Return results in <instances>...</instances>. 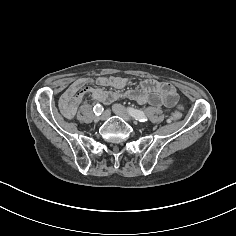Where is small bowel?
<instances>
[{"label": "small bowel", "mask_w": 236, "mask_h": 236, "mask_svg": "<svg viewBox=\"0 0 236 236\" xmlns=\"http://www.w3.org/2000/svg\"><path fill=\"white\" fill-rule=\"evenodd\" d=\"M99 87L90 86V80L77 79L73 81L60 98V107L67 118H72L81 103L84 95L90 94L94 100L105 105L119 97L127 96L140 105L150 104L154 107H175L178 104V95L175 88L169 83L155 79H146L140 86L127 91L128 79L121 76L99 77L94 80ZM102 87H110L106 91Z\"/></svg>", "instance_id": "1"}]
</instances>
